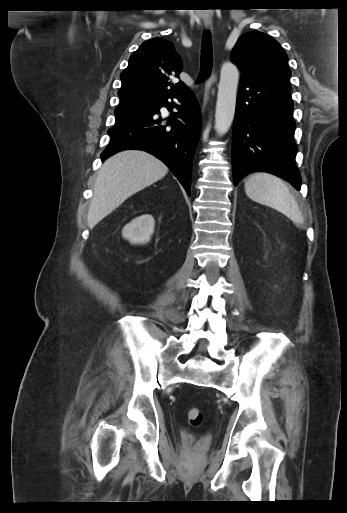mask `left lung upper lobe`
<instances>
[{
  "label": "left lung upper lobe",
  "mask_w": 347,
  "mask_h": 513,
  "mask_svg": "<svg viewBox=\"0 0 347 513\" xmlns=\"http://www.w3.org/2000/svg\"><path fill=\"white\" fill-rule=\"evenodd\" d=\"M287 60L280 44L259 31L240 36L231 53V61L242 71L241 78L256 81H289Z\"/></svg>",
  "instance_id": "obj_1"
}]
</instances>
